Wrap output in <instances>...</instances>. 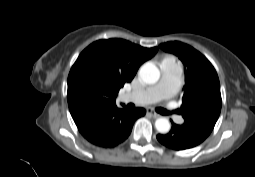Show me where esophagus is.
Listing matches in <instances>:
<instances>
[{"mask_svg":"<svg viewBox=\"0 0 255 177\" xmlns=\"http://www.w3.org/2000/svg\"><path fill=\"white\" fill-rule=\"evenodd\" d=\"M146 112H147V114H150L153 118H159V117H160L159 114H157L154 110H152V109H150V108H148V109L146 110Z\"/></svg>","mask_w":255,"mask_h":177,"instance_id":"obj_1","label":"esophagus"}]
</instances>
